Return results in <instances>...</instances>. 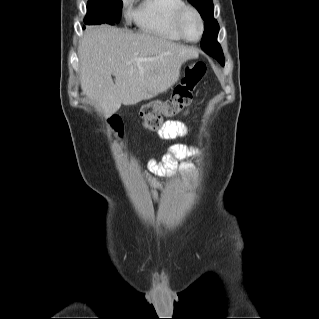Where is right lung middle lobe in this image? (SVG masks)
I'll use <instances>...</instances> for the list:
<instances>
[{
    "label": "right lung middle lobe",
    "mask_w": 319,
    "mask_h": 319,
    "mask_svg": "<svg viewBox=\"0 0 319 319\" xmlns=\"http://www.w3.org/2000/svg\"><path fill=\"white\" fill-rule=\"evenodd\" d=\"M122 12V0H89L87 3V14L85 24L113 25L120 21Z\"/></svg>",
    "instance_id": "dd1d6c3e"
}]
</instances>
